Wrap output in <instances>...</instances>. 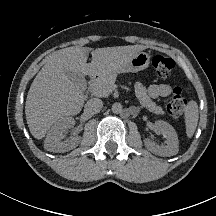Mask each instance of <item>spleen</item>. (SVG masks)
I'll return each instance as SVG.
<instances>
[{
  "label": "spleen",
  "mask_w": 216,
  "mask_h": 216,
  "mask_svg": "<svg viewBox=\"0 0 216 216\" xmlns=\"http://www.w3.org/2000/svg\"><path fill=\"white\" fill-rule=\"evenodd\" d=\"M198 105L195 101H190L185 109V125L187 137L191 138L198 124Z\"/></svg>",
  "instance_id": "1"
}]
</instances>
